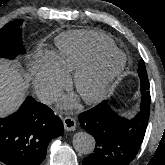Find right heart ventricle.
<instances>
[{
  "label": "right heart ventricle",
  "mask_w": 165,
  "mask_h": 165,
  "mask_svg": "<svg viewBox=\"0 0 165 165\" xmlns=\"http://www.w3.org/2000/svg\"><path fill=\"white\" fill-rule=\"evenodd\" d=\"M107 35L96 30H76L61 34L56 39L53 58L66 72H74L98 51L115 49Z\"/></svg>",
  "instance_id": "e07e8e85"
}]
</instances>
